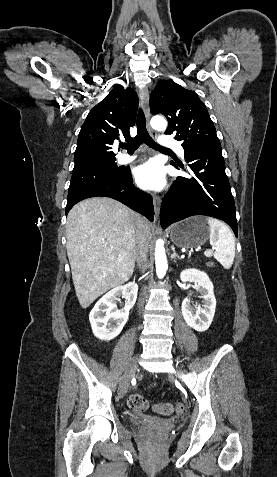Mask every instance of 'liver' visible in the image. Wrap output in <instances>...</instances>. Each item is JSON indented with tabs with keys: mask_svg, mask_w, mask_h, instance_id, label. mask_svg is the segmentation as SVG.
Instances as JSON below:
<instances>
[{
	"mask_svg": "<svg viewBox=\"0 0 277 477\" xmlns=\"http://www.w3.org/2000/svg\"><path fill=\"white\" fill-rule=\"evenodd\" d=\"M138 217L122 203L107 197L86 199L68 213L67 255L82 308L132 276Z\"/></svg>",
	"mask_w": 277,
	"mask_h": 477,
	"instance_id": "1",
	"label": "liver"
}]
</instances>
